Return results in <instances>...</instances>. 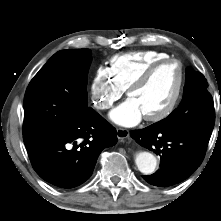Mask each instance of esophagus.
Segmentation results:
<instances>
[{
	"mask_svg": "<svg viewBox=\"0 0 221 221\" xmlns=\"http://www.w3.org/2000/svg\"><path fill=\"white\" fill-rule=\"evenodd\" d=\"M116 135L118 139L123 140L129 136V130L124 129V128H118L116 130Z\"/></svg>",
	"mask_w": 221,
	"mask_h": 221,
	"instance_id": "1",
	"label": "esophagus"
}]
</instances>
